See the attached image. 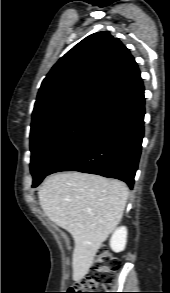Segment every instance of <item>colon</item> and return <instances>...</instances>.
Masks as SVG:
<instances>
[{
    "label": "colon",
    "instance_id": "1",
    "mask_svg": "<svg viewBox=\"0 0 170 293\" xmlns=\"http://www.w3.org/2000/svg\"><path fill=\"white\" fill-rule=\"evenodd\" d=\"M118 261L107 248H100L86 276L70 288L71 293H107L115 280Z\"/></svg>",
    "mask_w": 170,
    "mask_h": 293
}]
</instances>
